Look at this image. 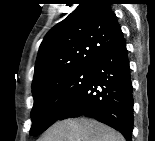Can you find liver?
Here are the masks:
<instances>
[{"mask_svg":"<svg viewBox=\"0 0 155 141\" xmlns=\"http://www.w3.org/2000/svg\"><path fill=\"white\" fill-rule=\"evenodd\" d=\"M41 141H124L114 129L94 119L76 118L51 126Z\"/></svg>","mask_w":155,"mask_h":141,"instance_id":"6515ba94","label":"liver"}]
</instances>
